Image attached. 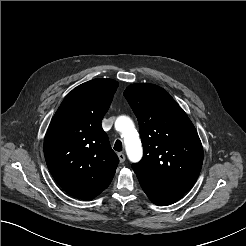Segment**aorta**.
Listing matches in <instances>:
<instances>
[{
  "label": "aorta",
  "mask_w": 246,
  "mask_h": 246,
  "mask_svg": "<svg viewBox=\"0 0 246 246\" xmlns=\"http://www.w3.org/2000/svg\"><path fill=\"white\" fill-rule=\"evenodd\" d=\"M115 127L122 134L127 156L131 162H138L143 155L142 144L133 121L127 116H120Z\"/></svg>",
  "instance_id": "obj_1"
}]
</instances>
